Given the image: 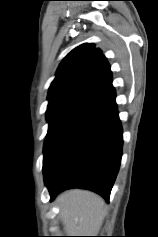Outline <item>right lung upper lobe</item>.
<instances>
[{"instance_id":"right-lung-upper-lobe-1","label":"right lung upper lobe","mask_w":158,"mask_h":237,"mask_svg":"<svg viewBox=\"0 0 158 237\" xmlns=\"http://www.w3.org/2000/svg\"><path fill=\"white\" fill-rule=\"evenodd\" d=\"M110 66L100 49L86 43L72 50L58 67L48 99L86 104L112 85Z\"/></svg>"}]
</instances>
